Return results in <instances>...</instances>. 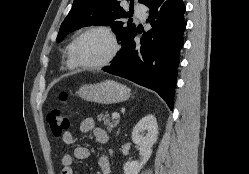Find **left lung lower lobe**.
Masks as SVG:
<instances>
[{
	"label": "left lung lower lobe",
	"mask_w": 249,
	"mask_h": 174,
	"mask_svg": "<svg viewBox=\"0 0 249 174\" xmlns=\"http://www.w3.org/2000/svg\"><path fill=\"white\" fill-rule=\"evenodd\" d=\"M149 19L152 29L134 42L128 39L111 67L105 72L126 78L156 91L173 109V95L177 77L183 33L185 5L182 0H149Z\"/></svg>",
	"instance_id": "left-lung-lower-lobe-1"
}]
</instances>
